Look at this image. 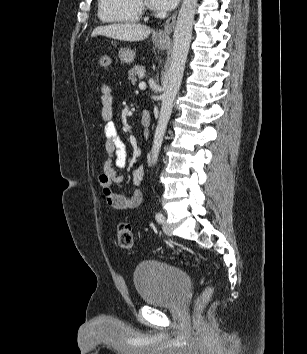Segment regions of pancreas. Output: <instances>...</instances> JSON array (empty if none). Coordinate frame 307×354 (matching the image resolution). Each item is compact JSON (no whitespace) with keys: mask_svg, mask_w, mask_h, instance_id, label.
Returning a JSON list of instances; mask_svg holds the SVG:
<instances>
[{"mask_svg":"<svg viewBox=\"0 0 307 354\" xmlns=\"http://www.w3.org/2000/svg\"><path fill=\"white\" fill-rule=\"evenodd\" d=\"M145 67L142 65L134 66L128 72V80H130L133 84H135L139 79H142L145 75Z\"/></svg>","mask_w":307,"mask_h":354,"instance_id":"obj_1","label":"pancreas"}]
</instances>
